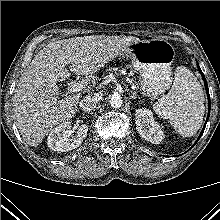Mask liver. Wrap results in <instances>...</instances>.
<instances>
[{
    "label": "liver",
    "instance_id": "liver-1",
    "mask_svg": "<svg viewBox=\"0 0 220 220\" xmlns=\"http://www.w3.org/2000/svg\"><path fill=\"white\" fill-rule=\"evenodd\" d=\"M138 41L132 36H84L41 49L22 73L13 97L14 118L23 140L36 147L54 126L74 117L80 98L96 84L94 74ZM68 64L71 72L86 76L88 89L59 100L57 82L70 77Z\"/></svg>",
    "mask_w": 220,
    "mask_h": 220
}]
</instances>
